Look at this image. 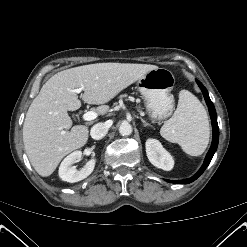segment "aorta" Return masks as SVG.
Wrapping results in <instances>:
<instances>
[{
    "label": "aorta",
    "instance_id": "1",
    "mask_svg": "<svg viewBox=\"0 0 247 247\" xmlns=\"http://www.w3.org/2000/svg\"><path fill=\"white\" fill-rule=\"evenodd\" d=\"M119 133L123 136L130 135L132 133V126L128 122H123L119 127Z\"/></svg>",
    "mask_w": 247,
    "mask_h": 247
}]
</instances>
